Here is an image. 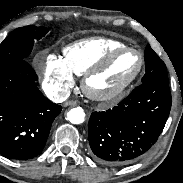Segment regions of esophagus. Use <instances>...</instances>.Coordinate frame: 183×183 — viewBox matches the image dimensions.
<instances>
[{
    "label": "esophagus",
    "mask_w": 183,
    "mask_h": 183,
    "mask_svg": "<svg viewBox=\"0 0 183 183\" xmlns=\"http://www.w3.org/2000/svg\"><path fill=\"white\" fill-rule=\"evenodd\" d=\"M76 105H77V102L74 101V100L66 101V102L64 103V107L76 106Z\"/></svg>",
    "instance_id": "esophagus-1"
}]
</instances>
